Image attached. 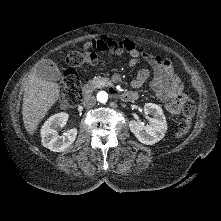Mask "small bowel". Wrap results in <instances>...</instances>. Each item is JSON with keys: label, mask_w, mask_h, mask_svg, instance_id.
<instances>
[{"label": "small bowel", "mask_w": 221, "mask_h": 221, "mask_svg": "<svg viewBox=\"0 0 221 221\" xmlns=\"http://www.w3.org/2000/svg\"><path fill=\"white\" fill-rule=\"evenodd\" d=\"M85 48L113 55L126 53L131 57L129 61L130 67L137 65L141 61L146 62L153 71L151 87L157 98L165 103V108L169 113L176 115L182 111L187 97L184 94L183 83L176 75L169 59L141 52L136 44L129 39L95 38L88 41ZM149 76L150 71L148 69L140 70L131 82L132 87L140 88Z\"/></svg>", "instance_id": "1"}]
</instances>
